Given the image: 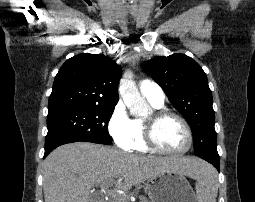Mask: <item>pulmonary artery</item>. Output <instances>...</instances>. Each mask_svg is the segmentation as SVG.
I'll use <instances>...</instances> for the list:
<instances>
[{
    "label": "pulmonary artery",
    "mask_w": 255,
    "mask_h": 202,
    "mask_svg": "<svg viewBox=\"0 0 255 202\" xmlns=\"http://www.w3.org/2000/svg\"><path fill=\"white\" fill-rule=\"evenodd\" d=\"M139 90L141 94L152 104L162 105L164 103L165 95L162 88L151 80H142L139 83Z\"/></svg>",
    "instance_id": "e3ab8cb5"
}]
</instances>
